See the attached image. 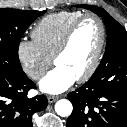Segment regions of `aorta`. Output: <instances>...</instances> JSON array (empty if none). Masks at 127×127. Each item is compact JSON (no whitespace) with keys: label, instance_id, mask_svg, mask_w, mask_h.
Listing matches in <instances>:
<instances>
[{"label":"aorta","instance_id":"762f6f07","mask_svg":"<svg viewBox=\"0 0 127 127\" xmlns=\"http://www.w3.org/2000/svg\"><path fill=\"white\" fill-rule=\"evenodd\" d=\"M73 106L67 99H61L55 104V111L61 117H68L71 115Z\"/></svg>","mask_w":127,"mask_h":127}]
</instances>
